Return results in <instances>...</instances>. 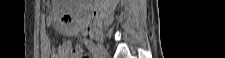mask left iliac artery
Segmentation results:
<instances>
[{
  "label": "left iliac artery",
  "instance_id": "1",
  "mask_svg": "<svg viewBox=\"0 0 225 58\" xmlns=\"http://www.w3.org/2000/svg\"><path fill=\"white\" fill-rule=\"evenodd\" d=\"M84 43H85V45L87 46V48L89 50H91V51L94 50V45H93V43L90 40H88V39L85 38L84 39Z\"/></svg>",
  "mask_w": 225,
  "mask_h": 58
}]
</instances>
